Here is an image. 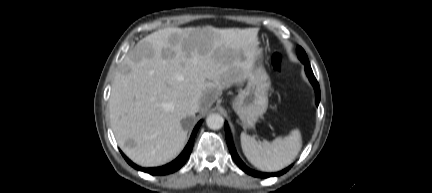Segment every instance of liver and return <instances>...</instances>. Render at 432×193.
<instances>
[{"label": "liver", "mask_w": 432, "mask_h": 193, "mask_svg": "<svg viewBox=\"0 0 432 193\" xmlns=\"http://www.w3.org/2000/svg\"><path fill=\"white\" fill-rule=\"evenodd\" d=\"M258 54L257 28L168 27L141 39L116 72L110 122L125 155L154 167L175 158L187 133L182 120L200 100L205 113L222 90L242 84Z\"/></svg>", "instance_id": "6515ba94"}]
</instances>
